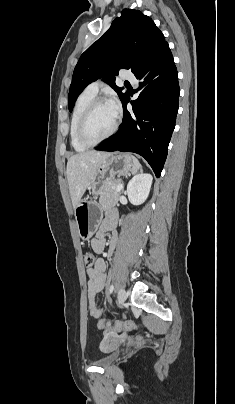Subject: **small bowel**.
Listing matches in <instances>:
<instances>
[{
    "mask_svg": "<svg viewBox=\"0 0 235 404\" xmlns=\"http://www.w3.org/2000/svg\"><path fill=\"white\" fill-rule=\"evenodd\" d=\"M116 224V215L112 214L107 217L103 223L101 224L95 238L92 240V249L96 253L104 252L106 245V233L108 230L113 229ZM117 236L116 233L113 232L110 248L107 252V256H110L116 246ZM106 263L104 259L99 258L95 261V264L92 267H88L87 275H88V283H87V292H88V309L89 314L93 318H100L103 315V309L99 308L96 303V296L101 293L106 284Z\"/></svg>",
    "mask_w": 235,
    "mask_h": 404,
    "instance_id": "1",
    "label": "small bowel"
}]
</instances>
